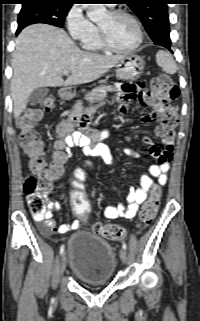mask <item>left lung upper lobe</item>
Listing matches in <instances>:
<instances>
[{"label":"left lung upper lobe","instance_id":"5c2ea615","mask_svg":"<svg viewBox=\"0 0 200 321\" xmlns=\"http://www.w3.org/2000/svg\"><path fill=\"white\" fill-rule=\"evenodd\" d=\"M139 17L157 45L171 43L167 4L169 0H123Z\"/></svg>","mask_w":200,"mask_h":321}]
</instances>
